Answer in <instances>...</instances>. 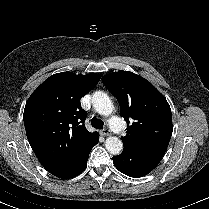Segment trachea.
Masks as SVG:
<instances>
[{"label": "trachea", "mask_w": 209, "mask_h": 209, "mask_svg": "<svg viewBox=\"0 0 209 209\" xmlns=\"http://www.w3.org/2000/svg\"><path fill=\"white\" fill-rule=\"evenodd\" d=\"M91 124L96 129H102L104 125L103 121L97 118H93Z\"/></svg>", "instance_id": "trachea-1"}]
</instances>
